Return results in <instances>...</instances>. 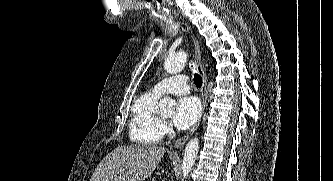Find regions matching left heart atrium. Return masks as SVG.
<instances>
[{
	"instance_id": "left-heart-atrium-1",
	"label": "left heart atrium",
	"mask_w": 333,
	"mask_h": 181,
	"mask_svg": "<svg viewBox=\"0 0 333 181\" xmlns=\"http://www.w3.org/2000/svg\"><path fill=\"white\" fill-rule=\"evenodd\" d=\"M200 111V103L195 97H182L177 101L172 121L178 129H187L197 121Z\"/></svg>"
}]
</instances>
